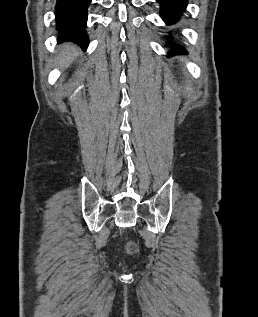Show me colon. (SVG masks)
Returning <instances> with one entry per match:
<instances>
[{"instance_id":"5ec220e1","label":"colon","mask_w":258,"mask_h":317,"mask_svg":"<svg viewBox=\"0 0 258 317\" xmlns=\"http://www.w3.org/2000/svg\"><path fill=\"white\" fill-rule=\"evenodd\" d=\"M127 250L130 253H133L136 251V245L133 242L128 243Z\"/></svg>"}]
</instances>
